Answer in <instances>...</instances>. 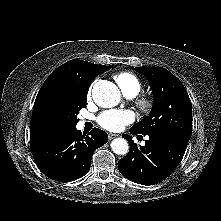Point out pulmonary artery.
I'll return each instance as SVG.
<instances>
[{"label":"pulmonary artery","mask_w":221,"mask_h":221,"mask_svg":"<svg viewBox=\"0 0 221 221\" xmlns=\"http://www.w3.org/2000/svg\"><path fill=\"white\" fill-rule=\"evenodd\" d=\"M127 97L132 98L134 95H127ZM81 124H83V121H81Z\"/></svg>","instance_id":"obj_1"}]
</instances>
